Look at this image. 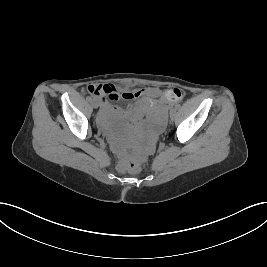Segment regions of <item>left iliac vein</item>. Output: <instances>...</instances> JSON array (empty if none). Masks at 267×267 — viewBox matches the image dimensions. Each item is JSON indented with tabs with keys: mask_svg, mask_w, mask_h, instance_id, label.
<instances>
[{
	"mask_svg": "<svg viewBox=\"0 0 267 267\" xmlns=\"http://www.w3.org/2000/svg\"><path fill=\"white\" fill-rule=\"evenodd\" d=\"M175 113H176V110H175V109H172L171 112H170V117H171V119L174 118Z\"/></svg>",
	"mask_w": 267,
	"mask_h": 267,
	"instance_id": "obj_1",
	"label": "left iliac vein"
}]
</instances>
